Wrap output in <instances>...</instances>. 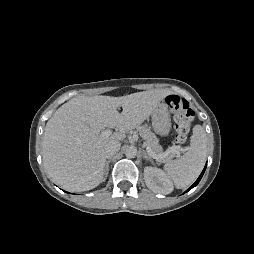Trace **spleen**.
Returning <instances> with one entry per match:
<instances>
[{
  "label": "spleen",
  "instance_id": "spleen-1",
  "mask_svg": "<svg viewBox=\"0 0 254 254\" xmlns=\"http://www.w3.org/2000/svg\"><path fill=\"white\" fill-rule=\"evenodd\" d=\"M207 157V135L201 125L193 127L188 151L180 158L165 164L164 170L176 188L190 185L202 171Z\"/></svg>",
  "mask_w": 254,
  "mask_h": 254
}]
</instances>
